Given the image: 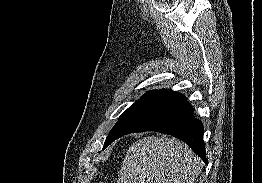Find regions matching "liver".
I'll return each instance as SVG.
<instances>
[{"mask_svg":"<svg viewBox=\"0 0 262 183\" xmlns=\"http://www.w3.org/2000/svg\"><path fill=\"white\" fill-rule=\"evenodd\" d=\"M202 167L182 141L149 136L129 147L117 183H194Z\"/></svg>","mask_w":262,"mask_h":183,"instance_id":"obj_1","label":"liver"}]
</instances>
